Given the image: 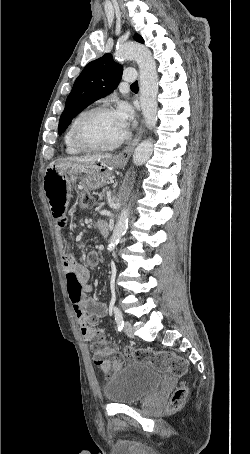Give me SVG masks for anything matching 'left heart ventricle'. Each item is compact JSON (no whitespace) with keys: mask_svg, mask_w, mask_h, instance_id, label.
<instances>
[{"mask_svg":"<svg viewBox=\"0 0 250 454\" xmlns=\"http://www.w3.org/2000/svg\"><path fill=\"white\" fill-rule=\"evenodd\" d=\"M126 132L114 111L98 112L88 117L80 128V138L89 145H108Z\"/></svg>","mask_w":250,"mask_h":454,"instance_id":"b2bd125f","label":"left heart ventricle"}]
</instances>
